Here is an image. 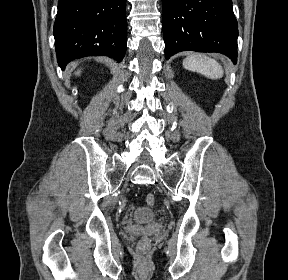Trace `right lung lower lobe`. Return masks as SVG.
<instances>
[{
	"instance_id": "obj_1",
	"label": "right lung lower lobe",
	"mask_w": 288,
	"mask_h": 280,
	"mask_svg": "<svg viewBox=\"0 0 288 280\" xmlns=\"http://www.w3.org/2000/svg\"><path fill=\"white\" fill-rule=\"evenodd\" d=\"M126 30V0H59L53 31L59 66L85 56L122 61Z\"/></svg>"
}]
</instances>
